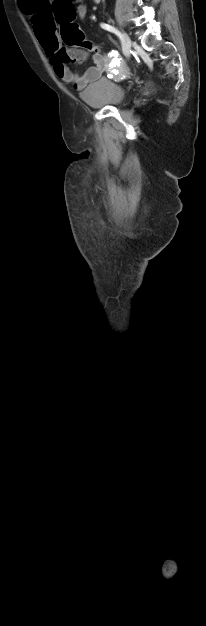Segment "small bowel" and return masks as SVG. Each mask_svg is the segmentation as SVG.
<instances>
[{
	"label": "small bowel",
	"instance_id": "1",
	"mask_svg": "<svg viewBox=\"0 0 206 626\" xmlns=\"http://www.w3.org/2000/svg\"><path fill=\"white\" fill-rule=\"evenodd\" d=\"M30 14L35 36L45 53L51 58L56 76L63 82L72 84L75 89L83 90L88 84L99 79L103 71L121 66V60L116 51L103 55L99 50H95L93 66L84 73L72 71L60 57V43L55 34V23L51 12L32 9ZM76 14L78 18L83 19L87 14V6L80 3Z\"/></svg>",
	"mask_w": 206,
	"mask_h": 626
}]
</instances>
